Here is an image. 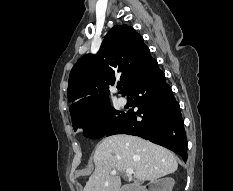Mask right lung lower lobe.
<instances>
[{"label":"right lung lower lobe","instance_id":"right-lung-lower-lobe-1","mask_svg":"<svg viewBox=\"0 0 233 191\" xmlns=\"http://www.w3.org/2000/svg\"><path fill=\"white\" fill-rule=\"evenodd\" d=\"M127 93L137 112L128 111L105 136L129 134L164 146L187 160V140L179 104L157 61L150 57ZM137 118H141L137 120Z\"/></svg>","mask_w":233,"mask_h":191}]
</instances>
